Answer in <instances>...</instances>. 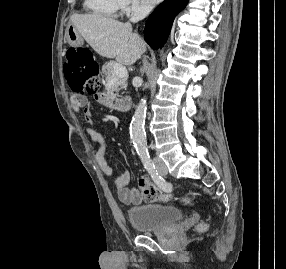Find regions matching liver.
I'll return each instance as SVG.
<instances>
[{"mask_svg": "<svg viewBox=\"0 0 286 269\" xmlns=\"http://www.w3.org/2000/svg\"><path fill=\"white\" fill-rule=\"evenodd\" d=\"M70 24L100 56L116 58L123 65L135 63L146 49L143 39L132 33L130 23L99 14H73Z\"/></svg>", "mask_w": 286, "mask_h": 269, "instance_id": "liver-1", "label": "liver"}]
</instances>
